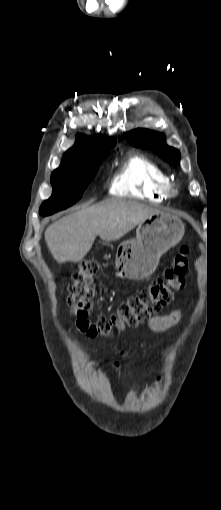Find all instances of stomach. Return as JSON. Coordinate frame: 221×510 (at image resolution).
<instances>
[{
  "label": "stomach",
  "instance_id": "obj_1",
  "mask_svg": "<svg viewBox=\"0 0 221 510\" xmlns=\"http://www.w3.org/2000/svg\"><path fill=\"white\" fill-rule=\"evenodd\" d=\"M185 232L182 220L171 213L159 212L142 221L136 238L122 242L116 253L119 274L132 281L149 277L160 257L180 242Z\"/></svg>",
  "mask_w": 221,
  "mask_h": 510
}]
</instances>
